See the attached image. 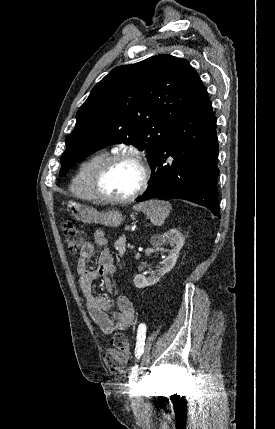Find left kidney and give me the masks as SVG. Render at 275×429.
Here are the masks:
<instances>
[{
	"mask_svg": "<svg viewBox=\"0 0 275 429\" xmlns=\"http://www.w3.org/2000/svg\"><path fill=\"white\" fill-rule=\"evenodd\" d=\"M184 242L185 237L179 230L175 228L170 229L162 235H154L151 238L152 246L163 249L164 245H170V250H168L167 257L161 262V268L159 270L152 272L148 277L142 274H137L134 276L133 282L135 287L141 289L152 286L156 284L161 279V277L172 270L176 264Z\"/></svg>",
	"mask_w": 275,
	"mask_h": 429,
	"instance_id": "5707ae66",
	"label": "left kidney"
}]
</instances>
